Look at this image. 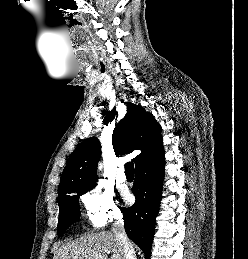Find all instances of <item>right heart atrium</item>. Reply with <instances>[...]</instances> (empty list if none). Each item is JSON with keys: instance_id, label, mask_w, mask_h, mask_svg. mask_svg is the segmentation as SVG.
Masks as SVG:
<instances>
[{"instance_id": "d8ad5b80", "label": "right heart atrium", "mask_w": 248, "mask_h": 259, "mask_svg": "<svg viewBox=\"0 0 248 259\" xmlns=\"http://www.w3.org/2000/svg\"><path fill=\"white\" fill-rule=\"evenodd\" d=\"M82 204L93 227L100 228L121 216L113 192L101 185H94L82 195Z\"/></svg>"}]
</instances>
